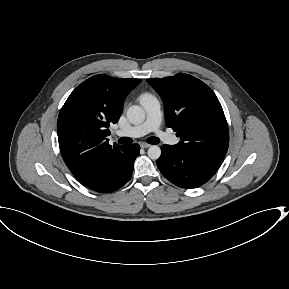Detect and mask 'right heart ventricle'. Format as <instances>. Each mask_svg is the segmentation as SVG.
<instances>
[{
    "mask_svg": "<svg viewBox=\"0 0 289 289\" xmlns=\"http://www.w3.org/2000/svg\"><path fill=\"white\" fill-rule=\"evenodd\" d=\"M151 95L150 94H147V93H144V94H142L141 96H140V101H142L143 99H145V98H148V97H150Z\"/></svg>",
    "mask_w": 289,
    "mask_h": 289,
    "instance_id": "obj_1",
    "label": "right heart ventricle"
}]
</instances>
